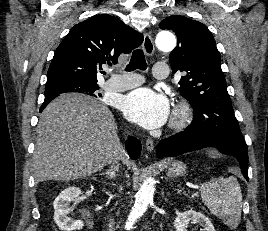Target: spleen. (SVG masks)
Listing matches in <instances>:
<instances>
[{"label":"spleen","mask_w":268,"mask_h":231,"mask_svg":"<svg viewBox=\"0 0 268 231\" xmlns=\"http://www.w3.org/2000/svg\"><path fill=\"white\" fill-rule=\"evenodd\" d=\"M201 198L210 212L234 229L241 220L242 193L234 176L213 178L200 186Z\"/></svg>","instance_id":"obj_1"}]
</instances>
